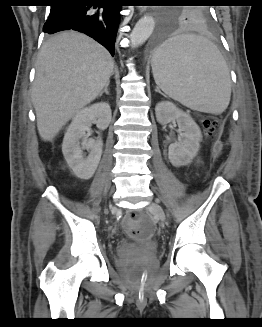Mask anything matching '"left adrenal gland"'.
<instances>
[{
    "label": "left adrenal gland",
    "mask_w": 262,
    "mask_h": 327,
    "mask_svg": "<svg viewBox=\"0 0 262 327\" xmlns=\"http://www.w3.org/2000/svg\"><path fill=\"white\" fill-rule=\"evenodd\" d=\"M155 91L158 92V93H161V91L159 90L158 87L155 89Z\"/></svg>",
    "instance_id": "obj_1"
}]
</instances>
